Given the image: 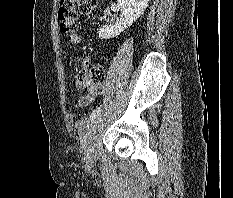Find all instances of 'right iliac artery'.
I'll list each match as a JSON object with an SVG mask.
<instances>
[{"instance_id": "82829eb1", "label": "right iliac artery", "mask_w": 233, "mask_h": 198, "mask_svg": "<svg viewBox=\"0 0 233 198\" xmlns=\"http://www.w3.org/2000/svg\"><path fill=\"white\" fill-rule=\"evenodd\" d=\"M102 106L97 107L91 114V119L95 118L101 112Z\"/></svg>"}]
</instances>
